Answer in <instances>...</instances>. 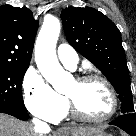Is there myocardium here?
<instances>
[{"instance_id": "myocardium-1", "label": "myocardium", "mask_w": 136, "mask_h": 136, "mask_svg": "<svg viewBox=\"0 0 136 136\" xmlns=\"http://www.w3.org/2000/svg\"><path fill=\"white\" fill-rule=\"evenodd\" d=\"M75 81L79 84H83V83L90 82V81H99L103 83L108 89L110 96H111V101H112L111 109L106 115L102 117H98V118H93V117L84 115L78 109L75 102L69 96L66 95V101L68 104L69 111L76 119L83 121V122H87V123L98 124V123H103L111 119L115 115L118 109V97H117V93H116L114 86L107 78L101 75H98V74H85V75L78 76L75 79Z\"/></svg>"}]
</instances>
